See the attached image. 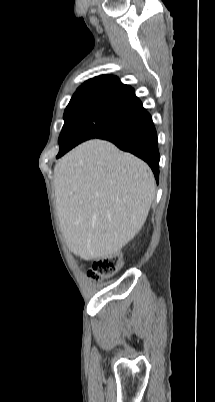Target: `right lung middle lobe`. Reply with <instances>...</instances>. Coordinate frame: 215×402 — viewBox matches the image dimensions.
I'll return each instance as SVG.
<instances>
[{"label": "right lung middle lobe", "mask_w": 215, "mask_h": 402, "mask_svg": "<svg viewBox=\"0 0 215 402\" xmlns=\"http://www.w3.org/2000/svg\"><path fill=\"white\" fill-rule=\"evenodd\" d=\"M144 110L142 104L110 95H73L64 112L57 158L83 141L106 139L123 130Z\"/></svg>", "instance_id": "dd1d6c3e"}]
</instances>
